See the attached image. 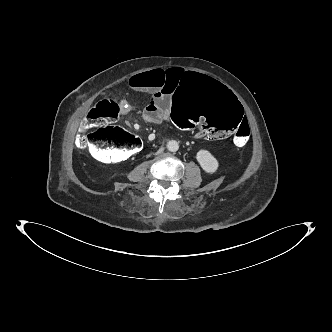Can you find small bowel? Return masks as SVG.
<instances>
[{"label":"small bowel","instance_id":"c3829d8e","mask_svg":"<svg viewBox=\"0 0 332 332\" xmlns=\"http://www.w3.org/2000/svg\"><path fill=\"white\" fill-rule=\"evenodd\" d=\"M183 77V70L177 68L169 70L153 69L139 73L130 78L129 85L133 90L147 92L152 95L150 103L143 111V118L146 122L159 124L168 121L171 118V100L177 84ZM131 110V105L127 101H121L120 113L122 115L128 114ZM194 136L197 139L216 140L214 138L203 136L200 133H196Z\"/></svg>","mask_w":332,"mask_h":332}]
</instances>
